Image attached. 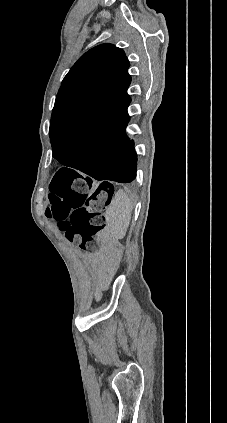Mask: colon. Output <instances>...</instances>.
<instances>
[{"mask_svg":"<svg viewBox=\"0 0 227 423\" xmlns=\"http://www.w3.org/2000/svg\"><path fill=\"white\" fill-rule=\"evenodd\" d=\"M112 195L113 188L108 183L94 186L87 178L61 170L50 186L47 215L58 223L69 241L94 251L95 235L103 228L102 213Z\"/></svg>","mask_w":227,"mask_h":423,"instance_id":"1","label":"colon"}]
</instances>
